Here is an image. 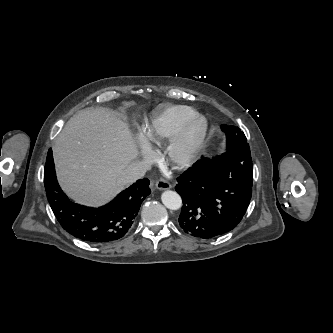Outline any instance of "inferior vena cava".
<instances>
[{"label":"inferior vena cava","instance_id":"inferior-vena-cava-1","mask_svg":"<svg viewBox=\"0 0 333 333\" xmlns=\"http://www.w3.org/2000/svg\"><path fill=\"white\" fill-rule=\"evenodd\" d=\"M148 170V165L142 161L132 162L121 175V181L125 184L133 183L142 178Z\"/></svg>","mask_w":333,"mask_h":333}]
</instances>
